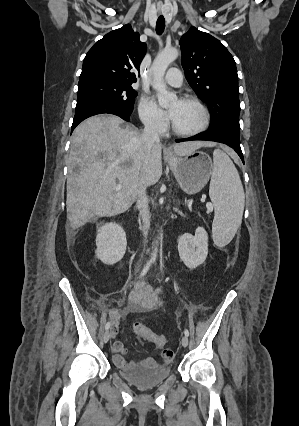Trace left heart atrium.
Returning a JSON list of instances; mask_svg holds the SVG:
<instances>
[{
    "label": "left heart atrium",
    "instance_id": "39dd6f15",
    "mask_svg": "<svg viewBox=\"0 0 299 426\" xmlns=\"http://www.w3.org/2000/svg\"><path fill=\"white\" fill-rule=\"evenodd\" d=\"M168 116L170 119H173L175 116V109H170L168 112Z\"/></svg>",
    "mask_w": 299,
    "mask_h": 426
}]
</instances>
